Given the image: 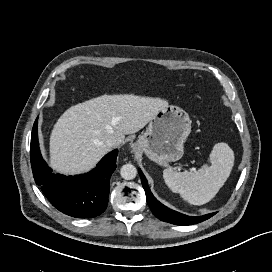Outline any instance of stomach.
I'll use <instances>...</instances> for the list:
<instances>
[{
  "label": "stomach",
  "instance_id": "stomach-1",
  "mask_svg": "<svg viewBox=\"0 0 272 272\" xmlns=\"http://www.w3.org/2000/svg\"><path fill=\"white\" fill-rule=\"evenodd\" d=\"M191 123L183 109L167 106L151 119L146 131L139 137L136 149L157 164L167 166L183 156V144L191 132Z\"/></svg>",
  "mask_w": 272,
  "mask_h": 272
}]
</instances>
